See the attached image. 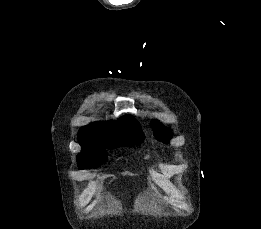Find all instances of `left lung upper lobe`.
Masks as SVG:
<instances>
[{"mask_svg": "<svg viewBox=\"0 0 261 229\" xmlns=\"http://www.w3.org/2000/svg\"><path fill=\"white\" fill-rule=\"evenodd\" d=\"M151 126L154 131V136L164 143H169L172 137V131L169 128L164 127L158 120H153Z\"/></svg>", "mask_w": 261, "mask_h": 229, "instance_id": "1", "label": "left lung upper lobe"}]
</instances>
